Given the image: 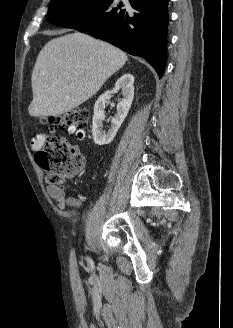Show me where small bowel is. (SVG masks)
<instances>
[{"instance_id":"1","label":"small bowel","mask_w":233,"mask_h":328,"mask_svg":"<svg viewBox=\"0 0 233 328\" xmlns=\"http://www.w3.org/2000/svg\"><path fill=\"white\" fill-rule=\"evenodd\" d=\"M45 139V135H38L36 138L33 139L31 143L32 148L34 150L39 149L43 145ZM48 194L53 200L56 201L59 209L61 210L65 209L67 206H78L80 204L79 200L67 197L65 191L60 187L50 186L48 188Z\"/></svg>"}]
</instances>
